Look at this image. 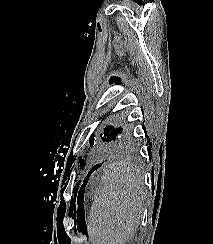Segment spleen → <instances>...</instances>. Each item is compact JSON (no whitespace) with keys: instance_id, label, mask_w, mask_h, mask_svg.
<instances>
[{"instance_id":"obj_1","label":"spleen","mask_w":213,"mask_h":244,"mask_svg":"<svg viewBox=\"0 0 213 244\" xmlns=\"http://www.w3.org/2000/svg\"><path fill=\"white\" fill-rule=\"evenodd\" d=\"M101 183L89 214L90 237L95 244H124L143 213L144 178L133 167L113 162L103 168Z\"/></svg>"}]
</instances>
